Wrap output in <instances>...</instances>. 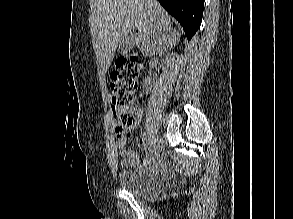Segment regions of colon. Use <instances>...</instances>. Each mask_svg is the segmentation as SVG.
<instances>
[{"instance_id":"colon-1","label":"colon","mask_w":293,"mask_h":219,"mask_svg":"<svg viewBox=\"0 0 293 219\" xmlns=\"http://www.w3.org/2000/svg\"><path fill=\"white\" fill-rule=\"evenodd\" d=\"M116 68L110 73V95L117 108L118 126L123 129L133 124L136 117V78L142 70V60L137 54L122 56L116 61Z\"/></svg>"}]
</instances>
